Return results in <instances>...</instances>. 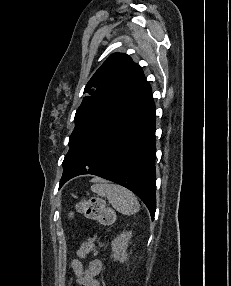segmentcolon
I'll use <instances>...</instances> for the list:
<instances>
[{"instance_id":"1","label":"colon","mask_w":231,"mask_h":286,"mask_svg":"<svg viewBox=\"0 0 231 286\" xmlns=\"http://www.w3.org/2000/svg\"><path fill=\"white\" fill-rule=\"evenodd\" d=\"M76 210L87 219L106 226L113 224L116 218L114 211L99 197L83 198L77 204Z\"/></svg>"}]
</instances>
